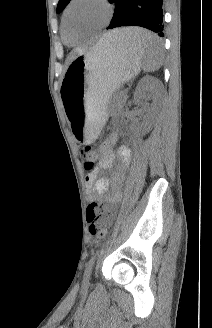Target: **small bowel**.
I'll use <instances>...</instances> for the list:
<instances>
[{"instance_id": "c3829d8e", "label": "small bowel", "mask_w": 212, "mask_h": 328, "mask_svg": "<svg viewBox=\"0 0 212 328\" xmlns=\"http://www.w3.org/2000/svg\"><path fill=\"white\" fill-rule=\"evenodd\" d=\"M116 160H118L124 168L130 160L129 149L125 146H121L117 149V151L114 152L107 145L102 150V155L98 167L87 173L85 179L90 189L91 201L98 200V197L105 193L108 189L106 180L98 177L100 170L111 168ZM123 168L113 175L115 188L112 194L106 199L109 205L103 220L105 224H109L113 220L116 214V204L121 200L122 197L120 186L123 183L125 177Z\"/></svg>"}]
</instances>
